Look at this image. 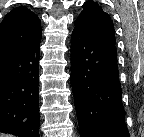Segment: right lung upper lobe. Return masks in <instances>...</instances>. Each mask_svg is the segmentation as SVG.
<instances>
[{
	"label": "right lung upper lobe",
	"mask_w": 144,
	"mask_h": 137,
	"mask_svg": "<svg viewBox=\"0 0 144 137\" xmlns=\"http://www.w3.org/2000/svg\"><path fill=\"white\" fill-rule=\"evenodd\" d=\"M41 36L37 15L24 6L10 11L0 25V57L12 53Z\"/></svg>",
	"instance_id": "obj_1"
}]
</instances>
